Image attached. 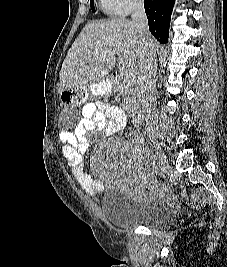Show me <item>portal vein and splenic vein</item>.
<instances>
[{
	"mask_svg": "<svg viewBox=\"0 0 227 267\" xmlns=\"http://www.w3.org/2000/svg\"><path fill=\"white\" fill-rule=\"evenodd\" d=\"M124 80L129 84L132 85L135 83L136 81V76L134 73L130 72V71H125L124 73Z\"/></svg>",
	"mask_w": 227,
	"mask_h": 267,
	"instance_id": "portal-vein-and-splenic-vein-1",
	"label": "portal vein and splenic vein"
}]
</instances>
